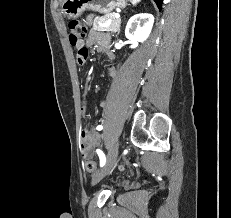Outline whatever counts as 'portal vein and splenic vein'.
I'll return each mask as SVG.
<instances>
[{"label":"portal vein and splenic vein","mask_w":231,"mask_h":218,"mask_svg":"<svg viewBox=\"0 0 231 218\" xmlns=\"http://www.w3.org/2000/svg\"><path fill=\"white\" fill-rule=\"evenodd\" d=\"M115 18H120V15L119 14H115Z\"/></svg>","instance_id":"18ae733b"}]
</instances>
